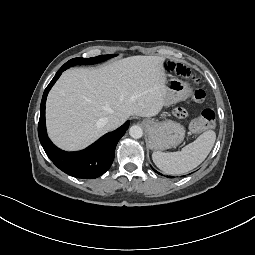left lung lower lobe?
Returning <instances> with one entry per match:
<instances>
[{
  "label": "left lung lower lobe",
  "mask_w": 255,
  "mask_h": 255,
  "mask_svg": "<svg viewBox=\"0 0 255 255\" xmlns=\"http://www.w3.org/2000/svg\"><path fill=\"white\" fill-rule=\"evenodd\" d=\"M154 170V169H153ZM155 171V170H154ZM156 173L160 174L159 172L155 171Z\"/></svg>",
  "instance_id": "obj_1"
}]
</instances>
